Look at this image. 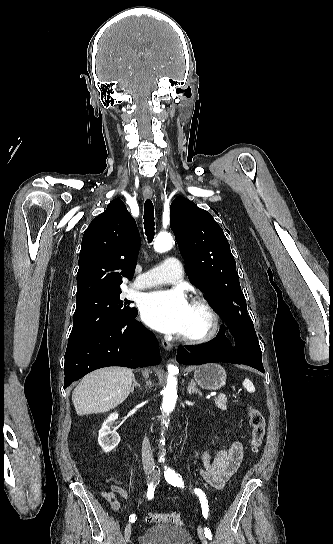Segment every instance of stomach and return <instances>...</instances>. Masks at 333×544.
Wrapping results in <instances>:
<instances>
[{
    "instance_id": "obj_1",
    "label": "stomach",
    "mask_w": 333,
    "mask_h": 544,
    "mask_svg": "<svg viewBox=\"0 0 333 544\" xmlns=\"http://www.w3.org/2000/svg\"><path fill=\"white\" fill-rule=\"evenodd\" d=\"M194 379L203 389L218 390L226 383V372L219 364L206 363L195 370Z\"/></svg>"
}]
</instances>
